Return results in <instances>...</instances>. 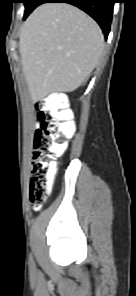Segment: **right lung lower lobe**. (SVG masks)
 <instances>
[{"instance_id": "98d812e1", "label": "right lung lower lobe", "mask_w": 136, "mask_h": 296, "mask_svg": "<svg viewBox=\"0 0 136 296\" xmlns=\"http://www.w3.org/2000/svg\"><path fill=\"white\" fill-rule=\"evenodd\" d=\"M43 3H69L82 9L100 25L105 38L108 37L115 0H38L35 6Z\"/></svg>"}]
</instances>
